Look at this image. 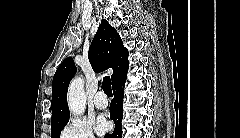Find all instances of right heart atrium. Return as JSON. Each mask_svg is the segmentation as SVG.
<instances>
[{"instance_id": "1", "label": "right heart atrium", "mask_w": 240, "mask_h": 138, "mask_svg": "<svg viewBox=\"0 0 240 138\" xmlns=\"http://www.w3.org/2000/svg\"><path fill=\"white\" fill-rule=\"evenodd\" d=\"M61 138H95L91 123L81 118H71L61 131Z\"/></svg>"}]
</instances>
